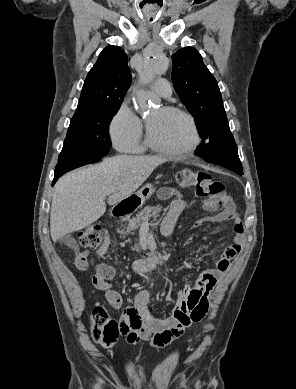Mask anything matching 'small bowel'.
<instances>
[{
    "label": "small bowel",
    "instance_id": "c3829d8e",
    "mask_svg": "<svg viewBox=\"0 0 296 389\" xmlns=\"http://www.w3.org/2000/svg\"><path fill=\"white\" fill-rule=\"evenodd\" d=\"M158 196L161 199L174 197L162 224V232L168 236L172 233L178 217L188 209L189 204L177 190L172 188H161ZM205 207L216 211V214L197 221L196 226L207 221L233 222V241L219 255L214 268L202 272L194 286L185 287L177 292L170 316L153 315L148 309L149 292L146 290L138 292L134 297V304L124 310L120 319L121 332L127 337L129 343L134 344L146 340L156 348H164L180 337L184 330L195 322L194 316L207 313L209 298L216 283L224 277L229 270L231 260L243 247L244 227L229 198L225 197L223 202L216 207L207 205ZM108 242L109 239L105 236V243L97 252L99 256L106 254ZM91 264L95 269L91 280L93 287L103 291L110 306L118 310L123 300L112 284L114 269L109 265L90 261L87 253H80L75 258V266L78 270L85 271Z\"/></svg>",
    "mask_w": 296,
    "mask_h": 389
}]
</instances>
